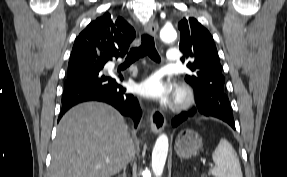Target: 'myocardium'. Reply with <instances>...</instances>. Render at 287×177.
Masks as SVG:
<instances>
[{"instance_id": "myocardium-1", "label": "myocardium", "mask_w": 287, "mask_h": 177, "mask_svg": "<svg viewBox=\"0 0 287 177\" xmlns=\"http://www.w3.org/2000/svg\"><path fill=\"white\" fill-rule=\"evenodd\" d=\"M195 95L191 88L182 86L177 89L172 100V108L176 111H183L194 104Z\"/></svg>"}]
</instances>
